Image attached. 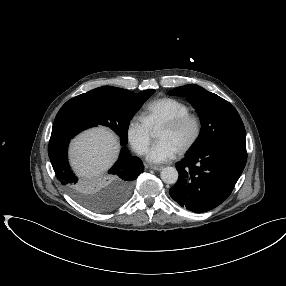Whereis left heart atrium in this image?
<instances>
[{
    "mask_svg": "<svg viewBox=\"0 0 286 286\" xmlns=\"http://www.w3.org/2000/svg\"><path fill=\"white\" fill-rule=\"evenodd\" d=\"M179 153V149L169 140H159L149 150L148 161L152 163H164L174 159Z\"/></svg>",
    "mask_w": 286,
    "mask_h": 286,
    "instance_id": "1",
    "label": "left heart atrium"
}]
</instances>
